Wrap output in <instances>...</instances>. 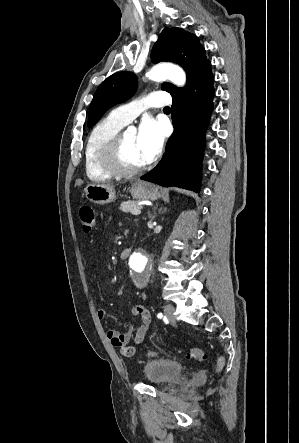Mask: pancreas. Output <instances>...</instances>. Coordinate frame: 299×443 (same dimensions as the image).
<instances>
[{"label": "pancreas", "instance_id": "pancreas-1", "mask_svg": "<svg viewBox=\"0 0 299 443\" xmlns=\"http://www.w3.org/2000/svg\"><path fill=\"white\" fill-rule=\"evenodd\" d=\"M142 206L138 205V202L135 200L124 201L120 205V210L123 212H131L134 209H141Z\"/></svg>", "mask_w": 299, "mask_h": 443}]
</instances>
